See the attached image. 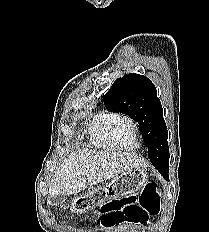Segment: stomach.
Instances as JSON below:
<instances>
[{
	"instance_id": "1",
	"label": "stomach",
	"mask_w": 209,
	"mask_h": 232,
	"mask_svg": "<svg viewBox=\"0 0 209 232\" xmlns=\"http://www.w3.org/2000/svg\"><path fill=\"white\" fill-rule=\"evenodd\" d=\"M147 181V173L144 169H133L123 171L121 176H115L112 182H107L102 188H95L89 194H77L74 201H69L71 211H95L96 207L92 204L103 206L104 203H110V199H123L126 194H132L138 191Z\"/></svg>"
}]
</instances>
